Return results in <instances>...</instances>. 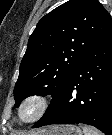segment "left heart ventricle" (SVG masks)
Returning <instances> with one entry per match:
<instances>
[{
  "label": "left heart ventricle",
  "mask_w": 112,
  "mask_h": 135,
  "mask_svg": "<svg viewBox=\"0 0 112 135\" xmlns=\"http://www.w3.org/2000/svg\"><path fill=\"white\" fill-rule=\"evenodd\" d=\"M32 112H33L32 108H27V109L24 110L23 116L28 117L32 114Z\"/></svg>",
  "instance_id": "obj_1"
}]
</instances>
